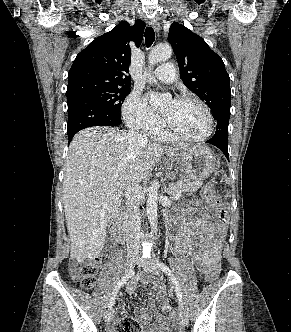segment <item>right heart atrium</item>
<instances>
[{
  "label": "right heart atrium",
  "instance_id": "d8ad5b80",
  "mask_svg": "<svg viewBox=\"0 0 291 332\" xmlns=\"http://www.w3.org/2000/svg\"><path fill=\"white\" fill-rule=\"evenodd\" d=\"M123 117L130 128L148 134L158 130L162 124L156 111L137 91L132 92L124 102Z\"/></svg>",
  "mask_w": 291,
  "mask_h": 332
}]
</instances>
